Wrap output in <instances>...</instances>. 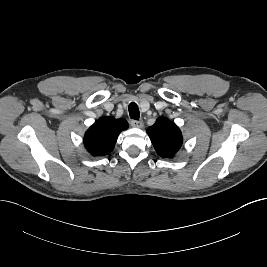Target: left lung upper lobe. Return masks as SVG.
Instances as JSON below:
<instances>
[{"mask_svg": "<svg viewBox=\"0 0 267 267\" xmlns=\"http://www.w3.org/2000/svg\"><path fill=\"white\" fill-rule=\"evenodd\" d=\"M151 142L162 158H171L182 146V133L177 125L167 118H158L154 125L147 129Z\"/></svg>", "mask_w": 267, "mask_h": 267, "instance_id": "1", "label": "left lung upper lobe"}]
</instances>
